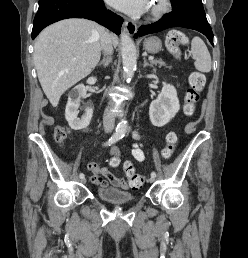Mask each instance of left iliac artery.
<instances>
[{
  "instance_id": "44dca946",
  "label": "left iliac artery",
  "mask_w": 248,
  "mask_h": 258,
  "mask_svg": "<svg viewBox=\"0 0 248 258\" xmlns=\"http://www.w3.org/2000/svg\"><path fill=\"white\" fill-rule=\"evenodd\" d=\"M151 177H153V178L156 177V173L154 171L151 173Z\"/></svg>"
}]
</instances>
